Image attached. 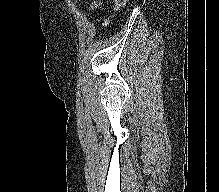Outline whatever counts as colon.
<instances>
[{
    "instance_id": "5ec220e1",
    "label": "colon",
    "mask_w": 219,
    "mask_h": 192,
    "mask_svg": "<svg viewBox=\"0 0 219 192\" xmlns=\"http://www.w3.org/2000/svg\"><path fill=\"white\" fill-rule=\"evenodd\" d=\"M129 0H119V4L116 7V10H118L122 5L126 4ZM107 22V20H105V23Z\"/></svg>"
}]
</instances>
